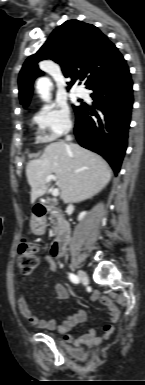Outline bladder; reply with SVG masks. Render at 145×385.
I'll list each match as a JSON object with an SVG mask.
<instances>
[{
	"label": "bladder",
	"mask_w": 145,
	"mask_h": 385,
	"mask_svg": "<svg viewBox=\"0 0 145 385\" xmlns=\"http://www.w3.org/2000/svg\"><path fill=\"white\" fill-rule=\"evenodd\" d=\"M76 353L83 354L84 351H82V350H77Z\"/></svg>",
	"instance_id": "bladder-1"
}]
</instances>
